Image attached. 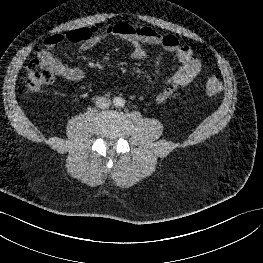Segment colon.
I'll use <instances>...</instances> for the list:
<instances>
[{
    "mask_svg": "<svg viewBox=\"0 0 263 263\" xmlns=\"http://www.w3.org/2000/svg\"><path fill=\"white\" fill-rule=\"evenodd\" d=\"M54 79L53 69L35 59L27 66L25 87L30 92H37L44 86L51 84ZM204 89L208 95H216L221 92L222 83L216 76H209L205 81Z\"/></svg>",
    "mask_w": 263,
    "mask_h": 263,
    "instance_id": "obj_1",
    "label": "colon"
}]
</instances>
